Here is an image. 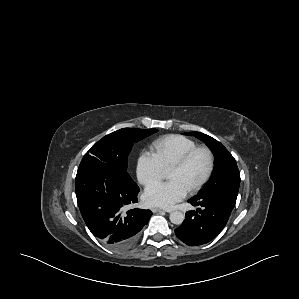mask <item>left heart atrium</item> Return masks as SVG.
Segmentation results:
<instances>
[{
    "instance_id": "obj_1",
    "label": "left heart atrium",
    "mask_w": 299,
    "mask_h": 299,
    "mask_svg": "<svg viewBox=\"0 0 299 299\" xmlns=\"http://www.w3.org/2000/svg\"><path fill=\"white\" fill-rule=\"evenodd\" d=\"M187 194L186 188L178 181L156 182L149 185L144 194L143 200L150 206L171 208L181 201Z\"/></svg>"
}]
</instances>
